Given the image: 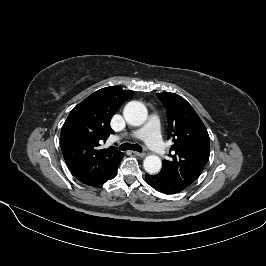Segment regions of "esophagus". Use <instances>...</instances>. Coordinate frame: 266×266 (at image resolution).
<instances>
[{
  "mask_svg": "<svg viewBox=\"0 0 266 266\" xmlns=\"http://www.w3.org/2000/svg\"><path fill=\"white\" fill-rule=\"evenodd\" d=\"M136 156H139V157H144L146 154L145 152H137V151H134L133 152Z\"/></svg>",
  "mask_w": 266,
  "mask_h": 266,
  "instance_id": "34e87169",
  "label": "esophagus"
}]
</instances>
